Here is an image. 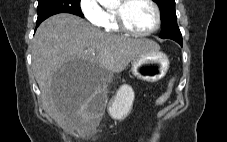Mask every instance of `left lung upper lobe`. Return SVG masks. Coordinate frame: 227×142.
<instances>
[{
    "label": "left lung upper lobe",
    "mask_w": 227,
    "mask_h": 142,
    "mask_svg": "<svg viewBox=\"0 0 227 142\" xmlns=\"http://www.w3.org/2000/svg\"><path fill=\"white\" fill-rule=\"evenodd\" d=\"M161 11L162 29L159 37L182 41V35L177 25L175 0H155Z\"/></svg>",
    "instance_id": "5c2ea615"
}]
</instances>
